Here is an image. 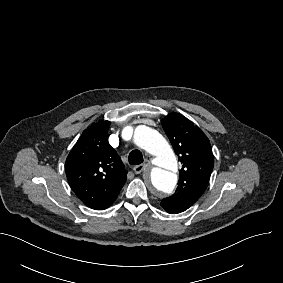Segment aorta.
<instances>
[{"label": "aorta", "instance_id": "obj_1", "mask_svg": "<svg viewBox=\"0 0 283 283\" xmlns=\"http://www.w3.org/2000/svg\"><path fill=\"white\" fill-rule=\"evenodd\" d=\"M134 143L155 156L157 167L151 170V184L158 191L172 193L177 184V159L167 140L156 130L138 126L134 130Z\"/></svg>", "mask_w": 283, "mask_h": 283}]
</instances>
